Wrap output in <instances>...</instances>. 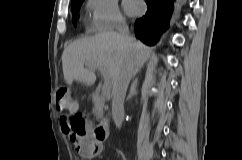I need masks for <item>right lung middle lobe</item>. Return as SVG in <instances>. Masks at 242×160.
<instances>
[{"label": "right lung middle lobe", "instance_id": "1", "mask_svg": "<svg viewBox=\"0 0 242 160\" xmlns=\"http://www.w3.org/2000/svg\"><path fill=\"white\" fill-rule=\"evenodd\" d=\"M84 0H74L72 1V15L75 19L79 18V9ZM75 25V24H74Z\"/></svg>", "mask_w": 242, "mask_h": 160}]
</instances>
